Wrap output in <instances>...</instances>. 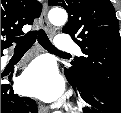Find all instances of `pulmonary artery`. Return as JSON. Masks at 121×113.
<instances>
[{"label": "pulmonary artery", "instance_id": "obj_1", "mask_svg": "<svg viewBox=\"0 0 121 113\" xmlns=\"http://www.w3.org/2000/svg\"><path fill=\"white\" fill-rule=\"evenodd\" d=\"M59 51H71L74 50L77 55H81L79 48L74 46L71 38L66 34H60L56 41V47Z\"/></svg>", "mask_w": 121, "mask_h": 113}]
</instances>
